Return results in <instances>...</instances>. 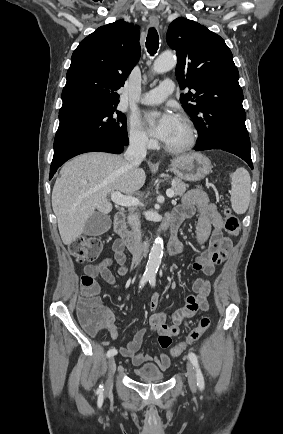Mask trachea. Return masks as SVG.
I'll list each match as a JSON object with an SVG mask.
<instances>
[{
  "label": "trachea",
  "mask_w": 283,
  "mask_h": 434,
  "mask_svg": "<svg viewBox=\"0 0 283 434\" xmlns=\"http://www.w3.org/2000/svg\"><path fill=\"white\" fill-rule=\"evenodd\" d=\"M146 48L151 55H154L159 48V36L155 28H150L148 31Z\"/></svg>",
  "instance_id": "3493384b"
}]
</instances>
